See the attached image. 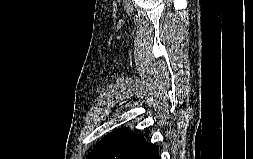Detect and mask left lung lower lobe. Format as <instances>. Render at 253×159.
<instances>
[{
    "label": "left lung lower lobe",
    "mask_w": 253,
    "mask_h": 159,
    "mask_svg": "<svg viewBox=\"0 0 253 159\" xmlns=\"http://www.w3.org/2000/svg\"><path fill=\"white\" fill-rule=\"evenodd\" d=\"M87 159H159L158 146L121 128L105 136Z\"/></svg>",
    "instance_id": "obj_1"
}]
</instances>
